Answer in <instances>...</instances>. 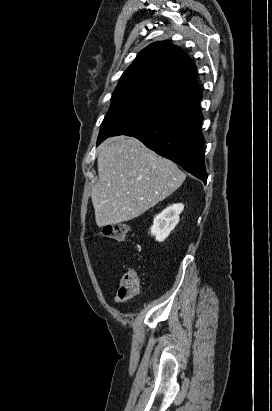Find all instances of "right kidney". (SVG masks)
Here are the masks:
<instances>
[{
	"label": "right kidney",
	"instance_id": "obj_1",
	"mask_svg": "<svg viewBox=\"0 0 272 411\" xmlns=\"http://www.w3.org/2000/svg\"><path fill=\"white\" fill-rule=\"evenodd\" d=\"M183 209V204H173L155 216L151 227V234L155 236L158 242H163L176 227L179 222V215Z\"/></svg>",
	"mask_w": 272,
	"mask_h": 411
}]
</instances>
